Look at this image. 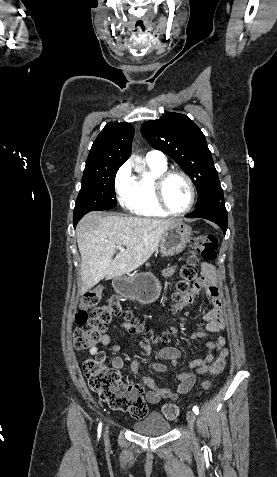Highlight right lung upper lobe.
<instances>
[{
	"label": "right lung upper lobe",
	"instance_id": "1",
	"mask_svg": "<svg viewBox=\"0 0 277 477\" xmlns=\"http://www.w3.org/2000/svg\"><path fill=\"white\" fill-rule=\"evenodd\" d=\"M133 136L130 123L109 122L93 142L84 173L120 167L131 154Z\"/></svg>",
	"mask_w": 277,
	"mask_h": 477
}]
</instances>
